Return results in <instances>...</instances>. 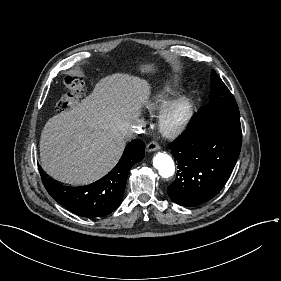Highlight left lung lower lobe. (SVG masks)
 <instances>
[{"label": "left lung lower lobe", "instance_id": "left-lung-lower-lobe-1", "mask_svg": "<svg viewBox=\"0 0 281 281\" xmlns=\"http://www.w3.org/2000/svg\"><path fill=\"white\" fill-rule=\"evenodd\" d=\"M242 143L239 116L197 117L187 132L170 145L178 162L169 197L185 207L201 205L215 197L229 178Z\"/></svg>", "mask_w": 281, "mask_h": 281}]
</instances>
